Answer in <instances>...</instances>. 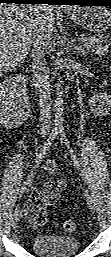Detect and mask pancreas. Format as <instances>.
<instances>
[{"mask_svg":"<svg viewBox=\"0 0 111 257\" xmlns=\"http://www.w3.org/2000/svg\"><path fill=\"white\" fill-rule=\"evenodd\" d=\"M85 48L97 55H105L109 51L111 42L107 37L87 36L82 38Z\"/></svg>","mask_w":111,"mask_h":257,"instance_id":"obj_1","label":"pancreas"}]
</instances>
